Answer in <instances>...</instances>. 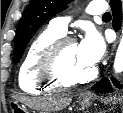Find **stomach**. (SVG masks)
<instances>
[{
	"instance_id": "1",
	"label": "stomach",
	"mask_w": 123,
	"mask_h": 113,
	"mask_svg": "<svg viewBox=\"0 0 123 113\" xmlns=\"http://www.w3.org/2000/svg\"><path fill=\"white\" fill-rule=\"evenodd\" d=\"M78 101L82 107H88L93 103L94 97L81 94L78 97ZM10 109L12 113H29L28 110L22 105H20L17 101L10 102Z\"/></svg>"
}]
</instances>
